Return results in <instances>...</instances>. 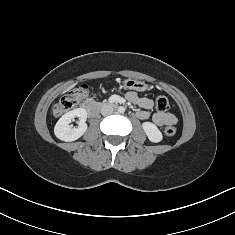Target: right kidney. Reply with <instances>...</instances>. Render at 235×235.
<instances>
[{
	"label": "right kidney",
	"instance_id": "ca27d5eb",
	"mask_svg": "<svg viewBox=\"0 0 235 235\" xmlns=\"http://www.w3.org/2000/svg\"><path fill=\"white\" fill-rule=\"evenodd\" d=\"M79 117L78 127H72L69 123ZM87 111L77 108L64 114L56 123L54 133L62 141L71 142L79 139L87 130Z\"/></svg>",
	"mask_w": 235,
	"mask_h": 235
}]
</instances>
